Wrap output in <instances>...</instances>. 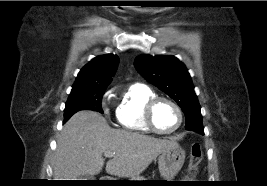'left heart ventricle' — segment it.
Instances as JSON below:
<instances>
[{"label": "left heart ventricle", "instance_id": "left-heart-ventricle-1", "mask_svg": "<svg viewBox=\"0 0 267 186\" xmlns=\"http://www.w3.org/2000/svg\"><path fill=\"white\" fill-rule=\"evenodd\" d=\"M153 119L158 129L169 131L176 126L178 114L171 104L161 101L154 109Z\"/></svg>", "mask_w": 267, "mask_h": 186}]
</instances>
